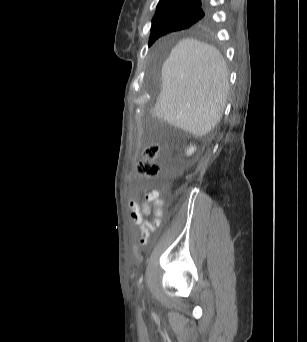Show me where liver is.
<instances>
[{
    "label": "liver",
    "mask_w": 307,
    "mask_h": 342,
    "mask_svg": "<svg viewBox=\"0 0 307 342\" xmlns=\"http://www.w3.org/2000/svg\"><path fill=\"white\" fill-rule=\"evenodd\" d=\"M228 90V70L219 50L185 38L162 66L155 116L202 138L220 122Z\"/></svg>",
    "instance_id": "6515ba94"
}]
</instances>
